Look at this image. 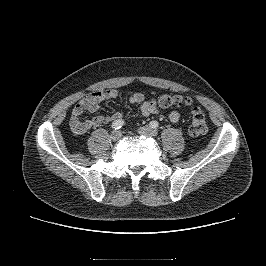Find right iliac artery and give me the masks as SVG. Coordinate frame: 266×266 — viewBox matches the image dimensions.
I'll return each mask as SVG.
<instances>
[{
    "label": "right iliac artery",
    "mask_w": 266,
    "mask_h": 266,
    "mask_svg": "<svg viewBox=\"0 0 266 266\" xmlns=\"http://www.w3.org/2000/svg\"><path fill=\"white\" fill-rule=\"evenodd\" d=\"M123 125H124V121L121 120V119H118V120H115V121L112 123V128L115 129V130H118V129H120Z\"/></svg>",
    "instance_id": "right-iliac-artery-1"
}]
</instances>
